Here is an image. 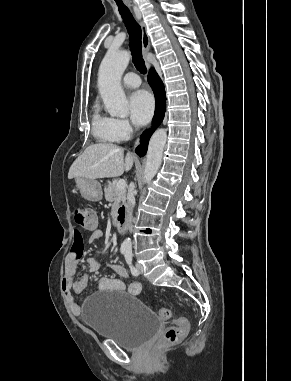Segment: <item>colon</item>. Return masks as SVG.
I'll list each match as a JSON object with an SVG mask.
<instances>
[{"label": "colon", "instance_id": "1", "mask_svg": "<svg viewBox=\"0 0 291 381\" xmlns=\"http://www.w3.org/2000/svg\"><path fill=\"white\" fill-rule=\"evenodd\" d=\"M73 218L76 224L83 230H93L96 227L97 219L95 212L88 207H75L73 210ZM159 317L168 320L171 317V310L162 307L158 311ZM188 321L184 317L174 320L173 325L168 327L163 335L159 346H171L178 344L187 332Z\"/></svg>", "mask_w": 291, "mask_h": 381}]
</instances>
